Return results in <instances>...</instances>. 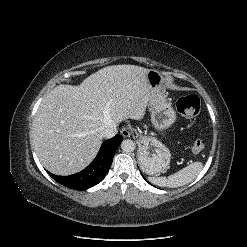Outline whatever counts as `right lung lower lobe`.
Wrapping results in <instances>:
<instances>
[{
    "label": "right lung lower lobe",
    "instance_id": "obj_1",
    "mask_svg": "<svg viewBox=\"0 0 247 247\" xmlns=\"http://www.w3.org/2000/svg\"><path fill=\"white\" fill-rule=\"evenodd\" d=\"M122 140L121 135L106 140L91 164L76 174L69 176H56L49 172L48 174L61 185L71 189L85 190L95 186L105 177L112 164L116 149Z\"/></svg>",
    "mask_w": 247,
    "mask_h": 247
}]
</instances>
